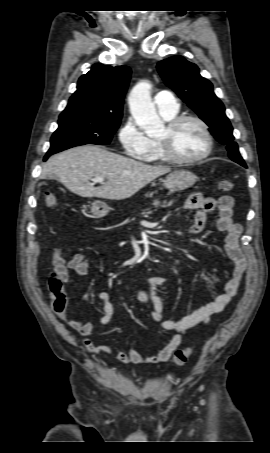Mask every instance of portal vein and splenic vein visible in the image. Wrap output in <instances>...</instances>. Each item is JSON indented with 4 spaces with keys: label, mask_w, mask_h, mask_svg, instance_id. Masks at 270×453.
<instances>
[{
    "label": "portal vein and splenic vein",
    "mask_w": 270,
    "mask_h": 453,
    "mask_svg": "<svg viewBox=\"0 0 270 453\" xmlns=\"http://www.w3.org/2000/svg\"><path fill=\"white\" fill-rule=\"evenodd\" d=\"M92 181H93L94 183H102V182L104 181V177H102V176L94 177V178L92 179Z\"/></svg>",
    "instance_id": "18ae733b"
}]
</instances>
